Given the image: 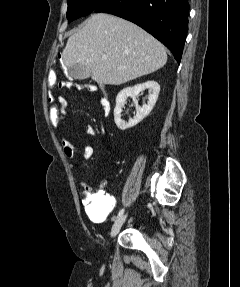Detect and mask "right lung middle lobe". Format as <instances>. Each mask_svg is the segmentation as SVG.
Masks as SVG:
<instances>
[{"label": "right lung middle lobe", "instance_id": "right-lung-middle-lobe-1", "mask_svg": "<svg viewBox=\"0 0 240 287\" xmlns=\"http://www.w3.org/2000/svg\"><path fill=\"white\" fill-rule=\"evenodd\" d=\"M107 0H67L68 10L66 13L68 22L90 14Z\"/></svg>", "mask_w": 240, "mask_h": 287}]
</instances>
